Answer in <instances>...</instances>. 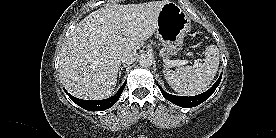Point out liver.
<instances>
[{
    "label": "liver",
    "instance_id": "1",
    "mask_svg": "<svg viewBox=\"0 0 276 138\" xmlns=\"http://www.w3.org/2000/svg\"><path fill=\"white\" fill-rule=\"evenodd\" d=\"M168 0L108 5L86 16L67 38L59 73L73 96L99 100L117 83L123 52L136 51L157 29L160 9ZM126 36V37H125Z\"/></svg>",
    "mask_w": 276,
    "mask_h": 138
}]
</instances>
